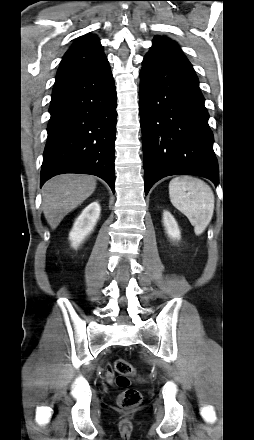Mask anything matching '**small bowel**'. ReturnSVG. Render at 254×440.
<instances>
[{
	"label": "small bowel",
	"instance_id": "c3829d8e",
	"mask_svg": "<svg viewBox=\"0 0 254 440\" xmlns=\"http://www.w3.org/2000/svg\"><path fill=\"white\" fill-rule=\"evenodd\" d=\"M108 373H109V374L111 373V369H110V368H108Z\"/></svg>",
	"mask_w": 254,
	"mask_h": 440
}]
</instances>
